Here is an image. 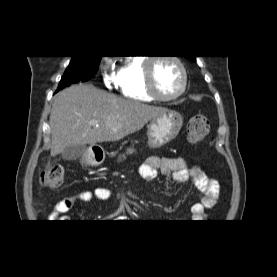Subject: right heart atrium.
I'll use <instances>...</instances> for the list:
<instances>
[{
	"instance_id": "obj_1",
	"label": "right heart atrium",
	"mask_w": 277,
	"mask_h": 277,
	"mask_svg": "<svg viewBox=\"0 0 277 277\" xmlns=\"http://www.w3.org/2000/svg\"><path fill=\"white\" fill-rule=\"evenodd\" d=\"M102 81L109 89L118 86V75L111 70V66L108 62L104 63L102 67Z\"/></svg>"
}]
</instances>
